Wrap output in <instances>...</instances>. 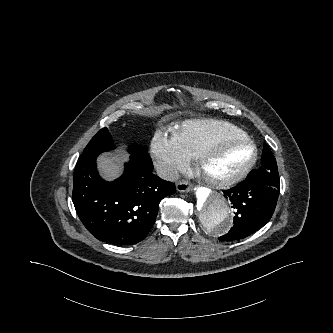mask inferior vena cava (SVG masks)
Masks as SVG:
<instances>
[{"instance_id": "1", "label": "inferior vena cava", "mask_w": 333, "mask_h": 333, "mask_svg": "<svg viewBox=\"0 0 333 333\" xmlns=\"http://www.w3.org/2000/svg\"><path fill=\"white\" fill-rule=\"evenodd\" d=\"M157 175L168 181H176L178 179V171L169 165L161 164L156 167Z\"/></svg>"}]
</instances>
